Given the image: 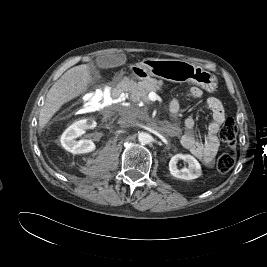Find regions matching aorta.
I'll list each match as a JSON object with an SVG mask.
<instances>
[{"instance_id":"obj_1","label":"aorta","mask_w":267,"mask_h":267,"mask_svg":"<svg viewBox=\"0 0 267 267\" xmlns=\"http://www.w3.org/2000/svg\"><path fill=\"white\" fill-rule=\"evenodd\" d=\"M138 140L142 144H148L152 141V136L149 133L142 132L139 134Z\"/></svg>"}]
</instances>
